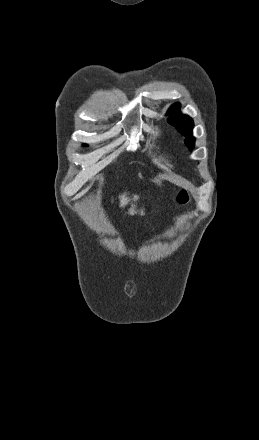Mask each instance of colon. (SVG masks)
<instances>
[{
  "label": "colon",
  "instance_id": "1",
  "mask_svg": "<svg viewBox=\"0 0 259 440\" xmlns=\"http://www.w3.org/2000/svg\"><path fill=\"white\" fill-rule=\"evenodd\" d=\"M189 200H190V194H189L188 190L182 189L177 196L178 203L179 204H186Z\"/></svg>",
  "mask_w": 259,
  "mask_h": 440
}]
</instances>
